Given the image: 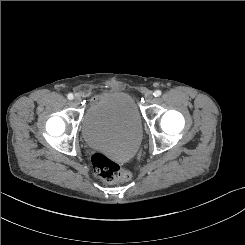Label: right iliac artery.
<instances>
[{"label":"right iliac artery","mask_w":245,"mask_h":245,"mask_svg":"<svg viewBox=\"0 0 245 245\" xmlns=\"http://www.w3.org/2000/svg\"><path fill=\"white\" fill-rule=\"evenodd\" d=\"M67 97H68L69 100H72V99H73V94L69 93V94L67 95Z\"/></svg>","instance_id":"right-iliac-artery-1"}]
</instances>
